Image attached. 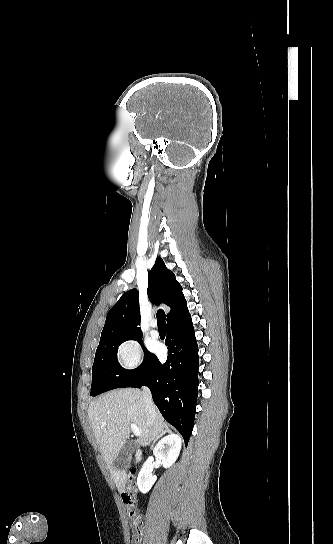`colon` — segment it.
Masks as SVG:
<instances>
[{
    "label": "colon",
    "instance_id": "1",
    "mask_svg": "<svg viewBox=\"0 0 333 544\" xmlns=\"http://www.w3.org/2000/svg\"><path fill=\"white\" fill-rule=\"evenodd\" d=\"M122 501L127 509L131 529L132 540L131 544H141L143 535V522L138 511L137 488L135 482L131 479L127 485L125 492L122 494Z\"/></svg>",
    "mask_w": 333,
    "mask_h": 544
}]
</instances>
